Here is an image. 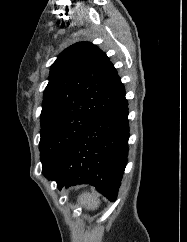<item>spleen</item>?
<instances>
[{"label":"spleen","mask_w":187,"mask_h":242,"mask_svg":"<svg viewBox=\"0 0 187 242\" xmlns=\"http://www.w3.org/2000/svg\"><path fill=\"white\" fill-rule=\"evenodd\" d=\"M99 197H100V195L95 191L83 192L78 197V202L88 210H95L100 205Z\"/></svg>","instance_id":"spleen-1"}]
</instances>
